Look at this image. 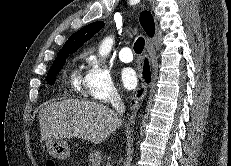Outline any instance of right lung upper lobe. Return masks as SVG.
<instances>
[{
	"instance_id": "obj_1",
	"label": "right lung upper lobe",
	"mask_w": 231,
	"mask_h": 166,
	"mask_svg": "<svg viewBox=\"0 0 231 166\" xmlns=\"http://www.w3.org/2000/svg\"><path fill=\"white\" fill-rule=\"evenodd\" d=\"M140 22L147 35L153 37L155 32L154 20L150 12L144 11L140 15ZM104 22H94L86 25L76 33H74L63 45L57 56L63 54H72L77 51L86 41L94 36L104 27Z\"/></svg>"
}]
</instances>
